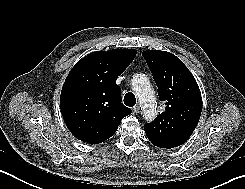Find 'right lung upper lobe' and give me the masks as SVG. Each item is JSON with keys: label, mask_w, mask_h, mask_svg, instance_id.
I'll list each match as a JSON object with an SVG mask.
<instances>
[{"label": "right lung upper lobe", "mask_w": 245, "mask_h": 189, "mask_svg": "<svg viewBox=\"0 0 245 189\" xmlns=\"http://www.w3.org/2000/svg\"><path fill=\"white\" fill-rule=\"evenodd\" d=\"M134 49L93 52L70 71L61 91L60 107L70 132L97 144L110 138L132 111L121 102L116 79L134 60Z\"/></svg>", "instance_id": "obj_1"}]
</instances>
